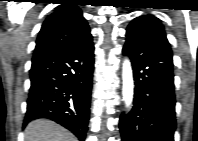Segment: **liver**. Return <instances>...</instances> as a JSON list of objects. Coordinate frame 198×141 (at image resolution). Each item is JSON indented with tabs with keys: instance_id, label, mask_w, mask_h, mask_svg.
<instances>
[{
	"instance_id": "6515ba94",
	"label": "liver",
	"mask_w": 198,
	"mask_h": 141,
	"mask_svg": "<svg viewBox=\"0 0 198 141\" xmlns=\"http://www.w3.org/2000/svg\"><path fill=\"white\" fill-rule=\"evenodd\" d=\"M24 136L25 141H77L71 132L47 119L30 122Z\"/></svg>"
}]
</instances>
